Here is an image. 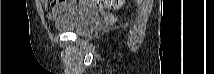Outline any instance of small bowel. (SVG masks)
I'll list each match as a JSON object with an SVG mask.
<instances>
[{
	"instance_id": "small-bowel-1",
	"label": "small bowel",
	"mask_w": 214,
	"mask_h": 74,
	"mask_svg": "<svg viewBox=\"0 0 214 74\" xmlns=\"http://www.w3.org/2000/svg\"><path fill=\"white\" fill-rule=\"evenodd\" d=\"M43 5L48 8V2L42 0ZM85 4L91 5L90 2H85ZM73 5H64L63 3H54L52 4V9L47 13L49 18H55L62 15L66 10L73 8Z\"/></svg>"
}]
</instances>
